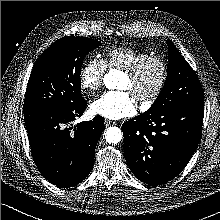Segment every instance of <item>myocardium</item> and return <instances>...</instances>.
<instances>
[{
	"mask_svg": "<svg viewBox=\"0 0 220 220\" xmlns=\"http://www.w3.org/2000/svg\"><path fill=\"white\" fill-rule=\"evenodd\" d=\"M151 64H156L159 67L160 76L157 84L150 92H144L137 95V99L144 104L154 103V101L162 93L168 79V65L166 61L159 56L149 55L136 63L130 69L125 70V75L131 79H137Z\"/></svg>",
	"mask_w": 220,
	"mask_h": 220,
	"instance_id": "myocardium-1",
	"label": "myocardium"
}]
</instances>
